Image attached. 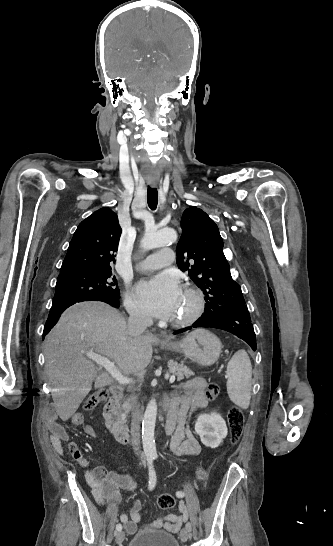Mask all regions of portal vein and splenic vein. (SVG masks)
Segmentation results:
<instances>
[{
    "label": "portal vein and splenic vein",
    "instance_id": "obj_1",
    "mask_svg": "<svg viewBox=\"0 0 333 546\" xmlns=\"http://www.w3.org/2000/svg\"><path fill=\"white\" fill-rule=\"evenodd\" d=\"M86 356L98 365L104 367L119 384L125 385L133 383V379L122 375L120 370L108 358L95 353H87ZM174 381L175 375H172L169 382L173 383Z\"/></svg>",
    "mask_w": 333,
    "mask_h": 546
}]
</instances>
